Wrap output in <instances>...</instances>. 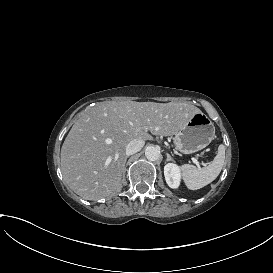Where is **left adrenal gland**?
<instances>
[{"mask_svg":"<svg viewBox=\"0 0 273 273\" xmlns=\"http://www.w3.org/2000/svg\"><path fill=\"white\" fill-rule=\"evenodd\" d=\"M170 159L173 160V161H175V159L168 152H166L165 162L169 161Z\"/></svg>","mask_w":273,"mask_h":273,"instance_id":"a2214340","label":"left adrenal gland"}]
</instances>
